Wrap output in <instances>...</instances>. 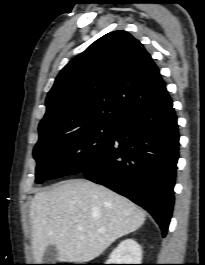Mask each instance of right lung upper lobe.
Here are the masks:
<instances>
[{
	"label": "right lung upper lobe",
	"instance_id": "obj_1",
	"mask_svg": "<svg viewBox=\"0 0 205 265\" xmlns=\"http://www.w3.org/2000/svg\"><path fill=\"white\" fill-rule=\"evenodd\" d=\"M165 87L137 39L121 30L108 33L61 70L38 130L61 133L94 122L118 123L151 105Z\"/></svg>",
	"mask_w": 205,
	"mask_h": 265
}]
</instances>
